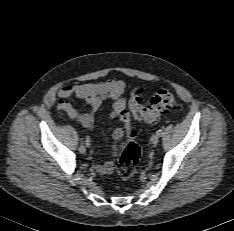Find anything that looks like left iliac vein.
I'll use <instances>...</instances> for the list:
<instances>
[{"label": "left iliac vein", "instance_id": "4c4485c4", "mask_svg": "<svg viewBox=\"0 0 234 231\" xmlns=\"http://www.w3.org/2000/svg\"><path fill=\"white\" fill-rule=\"evenodd\" d=\"M150 141L153 145H157L158 142H159V136L157 134H153L151 137H150Z\"/></svg>", "mask_w": 234, "mask_h": 231}]
</instances>
